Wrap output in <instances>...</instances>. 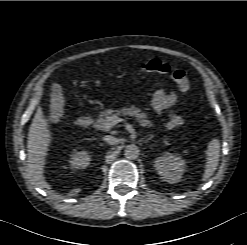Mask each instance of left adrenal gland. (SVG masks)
<instances>
[{"label":"left adrenal gland","instance_id":"1","mask_svg":"<svg viewBox=\"0 0 247 245\" xmlns=\"http://www.w3.org/2000/svg\"><path fill=\"white\" fill-rule=\"evenodd\" d=\"M154 136L153 135H150V137L145 141L146 143L149 142L150 140H152Z\"/></svg>","mask_w":247,"mask_h":245}]
</instances>
